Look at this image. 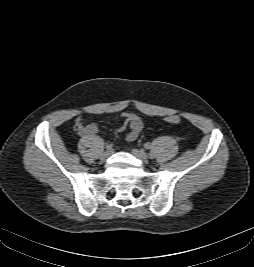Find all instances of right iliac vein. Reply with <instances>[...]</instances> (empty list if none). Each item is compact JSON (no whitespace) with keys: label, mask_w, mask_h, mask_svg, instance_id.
Returning a JSON list of instances; mask_svg holds the SVG:
<instances>
[{"label":"right iliac vein","mask_w":254,"mask_h":267,"mask_svg":"<svg viewBox=\"0 0 254 267\" xmlns=\"http://www.w3.org/2000/svg\"><path fill=\"white\" fill-rule=\"evenodd\" d=\"M110 154H111V150H106V151L102 152L100 155V160L102 162L105 161L109 157Z\"/></svg>","instance_id":"obj_1"}]
</instances>
